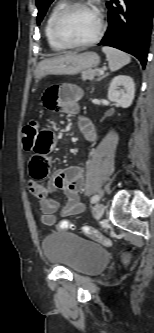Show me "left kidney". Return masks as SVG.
I'll return each mask as SVG.
<instances>
[{
	"mask_svg": "<svg viewBox=\"0 0 154 333\" xmlns=\"http://www.w3.org/2000/svg\"><path fill=\"white\" fill-rule=\"evenodd\" d=\"M135 96V85L130 76H116L110 83L108 99L118 106L128 108Z\"/></svg>",
	"mask_w": 154,
	"mask_h": 333,
	"instance_id": "1",
	"label": "left kidney"
}]
</instances>
